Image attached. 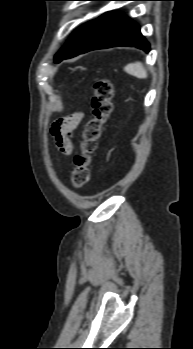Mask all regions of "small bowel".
Returning <instances> with one entry per match:
<instances>
[{"instance_id":"c3829d8e","label":"small bowel","mask_w":193,"mask_h":349,"mask_svg":"<svg viewBox=\"0 0 193 349\" xmlns=\"http://www.w3.org/2000/svg\"><path fill=\"white\" fill-rule=\"evenodd\" d=\"M83 119V113L78 111L67 117L57 120L52 128L51 134L58 150L65 155H71L74 146L71 140L72 134Z\"/></svg>"}]
</instances>
